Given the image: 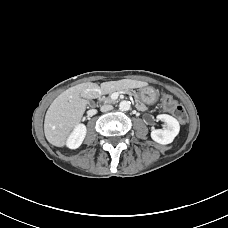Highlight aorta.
<instances>
[{"label":"aorta","mask_w":228,"mask_h":228,"mask_svg":"<svg viewBox=\"0 0 228 228\" xmlns=\"http://www.w3.org/2000/svg\"><path fill=\"white\" fill-rule=\"evenodd\" d=\"M119 109L121 111H128L130 109V102L123 100L119 103Z\"/></svg>","instance_id":"obj_1"}]
</instances>
